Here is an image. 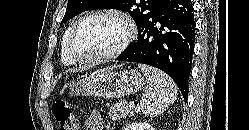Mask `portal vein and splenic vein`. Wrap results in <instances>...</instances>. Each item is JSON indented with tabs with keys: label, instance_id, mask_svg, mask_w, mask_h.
Instances as JSON below:
<instances>
[{
	"label": "portal vein and splenic vein",
	"instance_id": "obj_1",
	"mask_svg": "<svg viewBox=\"0 0 249 130\" xmlns=\"http://www.w3.org/2000/svg\"><path fill=\"white\" fill-rule=\"evenodd\" d=\"M134 106H135V105H134L133 102H130V103L128 104V107L131 108V109L134 108Z\"/></svg>",
	"mask_w": 249,
	"mask_h": 130
}]
</instances>
